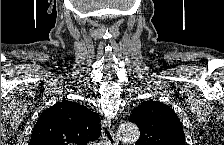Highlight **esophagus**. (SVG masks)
Instances as JSON below:
<instances>
[{"mask_svg":"<svg viewBox=\"0 0 224 145\" xmlns=\"http://www.w3.org/2000/svg\"><path fill=\"white\" fill-rule=\"evenodd\" d=\"M102 138L105 145H118V139L114 134L111 120L105 118L101 123Z\"/></svg>","mask_w":224,"mask_h":145,"instance_id":"obj_1","label":"esophagus"}]
</instances>
